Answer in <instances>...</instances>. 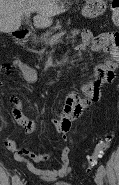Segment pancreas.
<instances>
[{
    "mask_svg": "<svg viewBox=\"0 0 119 185\" xmlns=\"http://www.w3.org/2000/svg\"><path fill=\"white\" fill-rule=\"evenodd\" d=\"M78 33V30H74V31H72L71 32V34H73V35H75V34H77ZM53 32H46V33H44L43 35H41L40 37H34L33 38V42L35 43V44H42V43H44V42H46L50 37H53Z\"/></svg>",
    "mask_w": 119,
    "mask_h": 185,
    "instance_id": "pancreas-1",
    "label": "pancreas"
}]
</instances>
